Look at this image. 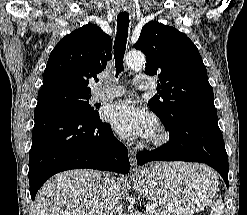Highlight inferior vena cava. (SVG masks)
Instances as JSON below:
<instances>
[{
    "label": "inferior vena cava",
    "instance_id": "obj_1",
    "mask_svg": "<svg viewBox=\"0 0 247 215\" xmlns=\"http://www.w3.org/2000/svg\"><path fill=\"white\" fill-rule=\"evenodd\" d=\"M110 175L105 177V183L107 185V194L105 199V211L104 215H123L122 205L120 204L121 189L120 185L113 180H110Z\"/></svg>",
    "mask_w": 247,
    "mask_h": 215
}]
</instances>
